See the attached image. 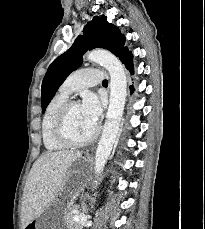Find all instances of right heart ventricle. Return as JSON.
Masks as SVG:
<instances>
[{
  "label": "right heart ventricle",
  "mask_w": 205,
  "mask_h": 229,
  "mask_svg": "<svg viewBox=\"0 0 205 229\" xmlns=\"http://www.w3.org/2000/svg\"><path fill=\"white\" fill-rule=\"evenodd\" d=\"M67 100L68 96L59 92L46 106L42 119L41 133L44 147L48 151H59L66 147L55 139L53 129L57 113Z\"/></svg>",
  "instance_id": "right-heart-ventricle-1"
}]
</instances>
